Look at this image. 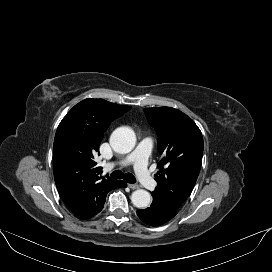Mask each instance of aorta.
Segmentation results:
<instances>
[{
    "label": "aorta",
    "instance_id": "aorta-1",
    "mask_svg": "<svg viewBox=\"0 0 272 272\" xmlns=\"http://www.w3.org/2000/svg\"><path fill=\"white\" fill-rule=\"evenodd\" d=\"M136 144V135L130 127L122 126L113 131L110 137L112 149L120 154L132 151ZM132 204L140 209L147 208L151 202V195L143 189L134 191L131 195Z\"/></svg>",
    "mask_w": 272,
    "mask_h": 272
}]
</instances>
